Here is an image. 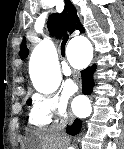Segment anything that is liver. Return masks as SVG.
<instances>
[{"instance_id":"liver-1","label":"liver","mask_w":124,"mask_h":149,"mask_svg":"<svg viewBox=\"0 0 124 149\" xmlns=\"http://www.w3.org/2000/svg\"><path fill=\"white\" fill-rule=\"evenodd\" d=\"M64 138L55 130L40 129L26 138L28 147L38 149H60L64 145ZM24 149V148H23Z\"/></svg>"}]
</instances>
